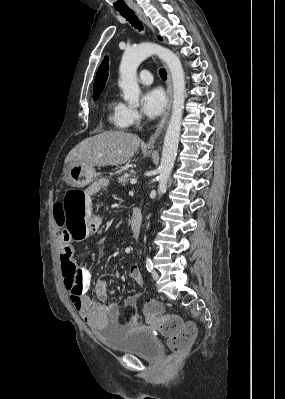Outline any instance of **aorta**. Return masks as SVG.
Returning a JSON list of instances; mask_svg holds the SVG:
<instances>
[{
    "instance_id": "1",
    "label": "aorta",
    "mask_w": 285,
    "mask_h": 399,
    "mask_svg": "<svg viewBox=\"0 0 285 399\" xmlns=\"http://www.w3.org/2000/svg\"><path fill=\"white\" fill-rule=\"evenodd\" d=\"M158 55L168 66L173 84L172 114L164 138L159 167L158 193L162 195L174 167L185 102V77L181 61L171 50L156 43H141L124 51L119 67V87L124 100L133 107L139 105L140 88L137 83V68L148 57Z\"/></svg>"
}]
</instances>
